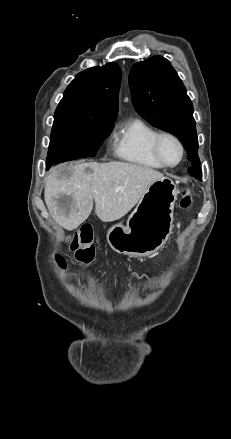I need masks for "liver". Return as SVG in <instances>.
I'll list each match as a JSON object with an SVG mask.
<instances>
[{"mask_svg": "<svg viewBox=\"0 0 231 439\" xmlns=\"http://www.w3.org/2000/svg\"><path fill=\"white\" fill-rule=\"evenodd\" d=\"M163 177L149 167L125 162L63 164L47 175L45 202L52 218L66 230L78 228L93 203L99 219L112 222L124 217Z\"/></svg>", "mask_w": 231, "mask_h": 439, "instance_id": "1", "label": "liver"}]
</instances>
